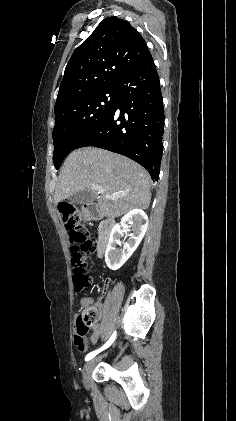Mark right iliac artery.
Masks as SVG:
<instances>
[{
    "label": "right iliac artery",
    "instance_id": "right-iliac-artery-1",
    "mask_svg": "<svg viewBox=\"0 0 236 421\" xmlns=\"http://www.w3.org/2000/svg\"><path fill=\"white\" fill-rule=\"evenodd\" d=\"M116 338V331H114V333L112 334V336L110 337V339L104 344V346H102L100 349L95 350L93 352H90L89 354H87V356L85 357V361H89L92 358H94L98 353H100L101 351L107 349L115 340Z\"/></svg>",
    "mask_w": 236,
    "mask_h": 421
}]
</instances>
